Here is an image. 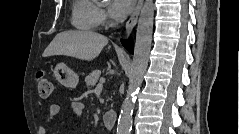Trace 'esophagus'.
Masks as SVG:
<instances>
[{
    "label": "esophagus",
    "mask_w": 239,
    "mask_h": 134,
    "mask_svg": "<svg viewBox=\"0 0 239 134\" xmlns=\"http://www.w3.org/2000/svg\"><path fill=\"white\" fill-rule=\"evenodd\" d=\"M142 5H143V0H138L131 17L129 18L125 26L126 37H128L131 34L133 28L135 27Z\"/></svg>",
    "instance_id": "34e87169"
}]
</instances>
